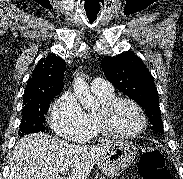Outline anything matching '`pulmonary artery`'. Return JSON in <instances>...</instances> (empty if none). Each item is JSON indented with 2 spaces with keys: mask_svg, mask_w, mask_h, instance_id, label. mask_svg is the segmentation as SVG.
Instances as JSON below:
<instances>
[{
  "mask_svg": "<svg viewBox=\"0 0 183 179\" xmlns=\"http://www.w3.org/2000/svg\"><path fill=\"white\" fill-rule=\"evenodd\" d=\"M91 90L98 93H108L111 92L113 89L112 85L108 81L102 78H95L91 82Z\"/></svg>",
  "mask_w": 183,
  "mask_h": 179,
  "instance_id": "e3ab8cb5",
  "label": "pulmonary artery"
}]
</instances>
